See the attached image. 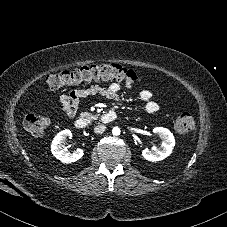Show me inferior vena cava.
<instances>
[{
    "mask_svg": "<svg viewBox=\"0 0 227 227\" xmlns=\"http://www.w3.org/2000/svg\"><path fill=\"white\" fill-rule=\"evenodd\" d=\"M106 129L105 125H98L94 128L95 133H103Z\"/></svg>",
    "mask_w": 227,
    "mask_h": 227,
    "instance_id": "602c4592",
    "label": "inferior vena cava"
}]
</instances>
